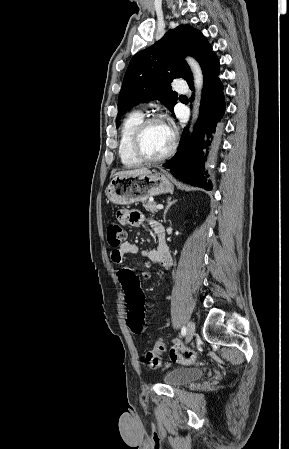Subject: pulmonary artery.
<instances>
[{
	"instance_id": "obj_1",
	"label": "pulmonary artery",
	"mask_w": 289,
	"mask_h": 449,
	"mask_svg": "<svg viewBox=\"0 0 289 449\" xmlns=\"http://www.w3.org/2000/svg\"><path fill=\"white\" fill-rule=\"evenodd\" d=\"M182 85H183V83L181 81H177V83H176V87L177 88H181Z\"/></svg>"
}]
</instances>
